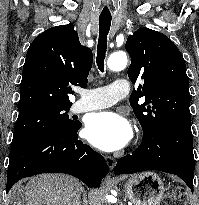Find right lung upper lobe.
I'll use <instances>...</instances> for the list:
<instances>
[{"label": "right lung upper lobe", "instance_id": "right-lung-upper-lobe-1", "mask_svg": "<svg viewBox=\"0 0 199 205\" xmlns=\"http://www.w3.org/2000/svg\"><path fill=\"white\" fill-rule=\"evenodd\" d=\"M92 51L82 46L73 24L49 28L30 45L23 66L18 111L72 105L70 85L85 88Z\"/></svg>", "mask_w": 199, "mask_h": 205}]
</instances>
